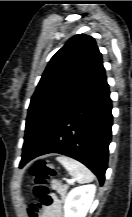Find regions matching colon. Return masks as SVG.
Returning <instances> with one entry per match:
<instances>
[{
  "mask_svg": "<svg viewBox=\"0 0 132 217\" xmlns=\"http://www.w3.org/2000/svg\"><path fill=\"white\" fill-rule=\"evenodd\" d=\"M30 180L34 196L40 203L30 207V217H37L43 206H49L54 201V196L49 192V181L57 174L56 166L48 161H37L30 169Z\"/></svg>",
  "mask_w": 132,
  "mask_h": 217,
  "instance_id": "1",
  "label": "colon"
}]
</instances>
